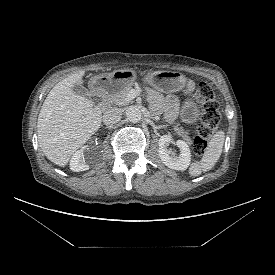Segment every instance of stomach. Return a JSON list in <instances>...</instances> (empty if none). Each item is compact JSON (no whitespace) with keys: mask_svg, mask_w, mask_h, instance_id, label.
Segmentation results:
<instances>
[{"mask_svg":"<svg viewBox=\"0 0 275 275\" xmlns=\"http://www.w3.org/2000/svg\"><path fill=\"white\" fill-rule=\"evenodd\" d=\"M137 74L132 69L115 70L110 74H100L93 76L90 85L95 91L104 94H114L124 87L132 85ZM144 80L154 88L165 92H176L181 90L186 84L185 76L175 71H149ZM199 111L196 103L189 100L185 103L181 118L186 123H193L197 120Z\"/></svg>","mask_w":275,"mask_h":275,"instance_id":"obj_1","label":"stomach"}]
</instances>
